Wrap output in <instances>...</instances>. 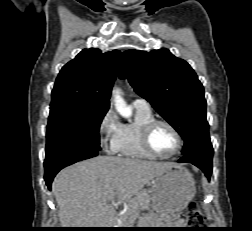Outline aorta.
<instances>
[{"label": "aorta", "mask_w": 252, "mask_h": 231, "mask_svg": "<svg viewBox=\"0 0 252 231\" xmlns=\"http://www.w3.org/2000/svg\"><path fill=\"white\" fill-rule=\"evenodd\" d=\"M112 97H113L114 106L117 112L125 118H130L132 115V111L127 106L126 102L120 95V92L118 89L113 90Z\"/></svg>", "instance_id": "aorta-1"}]
</instances>
